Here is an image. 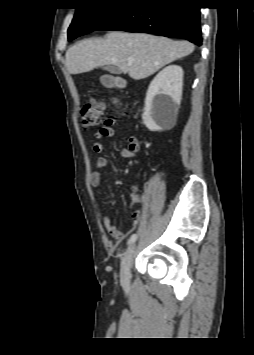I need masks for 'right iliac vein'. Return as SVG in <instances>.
I'll return each instance as SVG.
<instances>
[{
	"mask_svg": "<svg viewBox=\"0 0 254 355\" xmlns=\"http://www.w3.org/2000/svg\"><path fill=\"white\" fill-rule=\"evenodd\" d=\"M136 246L133 245L125 254L121 261L120 267V279L124 286H128L130 283V267L133 261Z\"/></svg>",
	"mask_w": 254,
	"mask_h": 355,
	"instance_id": "1",
	"label": "right iliac vein"
}]
</instances>
